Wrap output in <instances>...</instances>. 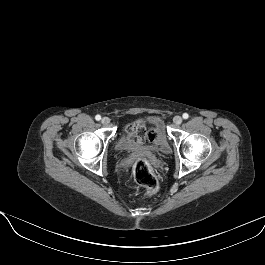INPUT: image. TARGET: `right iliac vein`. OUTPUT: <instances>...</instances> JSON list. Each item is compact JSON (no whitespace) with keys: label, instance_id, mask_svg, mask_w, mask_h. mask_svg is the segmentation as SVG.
I'll return each mask as SVG.
<instances>
[{"label":"right iliac vein","instance_id":"1","mask_svg":"<svg viewBox=\"0 0 265 265\" xmlns=\"http://www.w3.org/2000/svg\"><path fill=\"white\" fill-rule=\"evenodd\" d=\"M101 123H102L103 125H108V124L110 123V119H109L108 117H103V118L101 119Z\"/></svg>","mask_w":265,"mask_h":265}]
</instances>
